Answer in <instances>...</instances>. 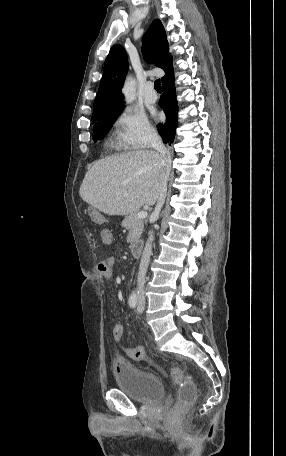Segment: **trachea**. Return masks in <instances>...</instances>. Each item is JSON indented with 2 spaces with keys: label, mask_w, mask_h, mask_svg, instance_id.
<instances>
[{
  "label": "trachea",
  "mask_w": 286,
  "mask_h": 456,
  "mask_svg": "<svg viewBox=\"0 0 286 456\" xmlns=\"http://www.w3.org/2000/svg\"><path fill=\"white\" fill-rule=\"evenodd\" d=\"M154 88L157 92H162V87H161V83H160V79H157L155 82H154Z\"/></svg>",
  "instance_id": "obj_1"
}]
</instances>
